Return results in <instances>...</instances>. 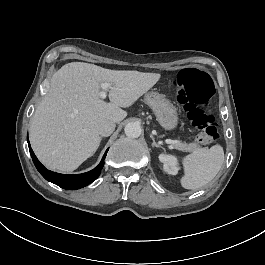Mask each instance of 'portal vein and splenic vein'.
I'll return each mask as SVG.
<instances>
[{"mask_svg": "<svg viewBox=\"0 0 265 265\" xmlns=\"http://www.w3.org/2000/svg\"><path fill=\"white\" fill-rule=\"evenodd\" d=\"M110 86H111L110 83H107V82H105V83H101L102 91L99 93L100 98H102V99H105V98H106V96H107V91H108V88H109ZM165 142H166L167 144H176V143H178L177 140H171V139H167Z\"/></svg>", "mask_w": 265, "mask_h": 265, "instance_id": "portal-vein-and-splenic-vein-1", "label": "portal vein and splenic vein"}]
</instances>
